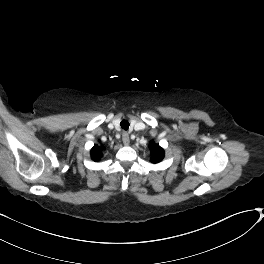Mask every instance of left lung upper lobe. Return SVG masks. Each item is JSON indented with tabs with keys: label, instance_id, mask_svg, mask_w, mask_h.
I'll use <instances>...</instances> for the list:
<instances>
[{
	"label": "left lung upper lobe",
	"instance_id": "left-lung-upper-lobe-1",
	"mask_svg": "<svg viewBox=\"0 0 264 264\" xmlns=\"http://www.w3.org/2000/svg\"><path fill=\"white\" fill-rule=\"evenodd\" d=\"M149 147L152 154L151 161L153 163L160 162L164 158V150L154 142H151Z\"/></svg>",
	"mask_w": 264,
	"mask_h": 264
}]
</instances>
